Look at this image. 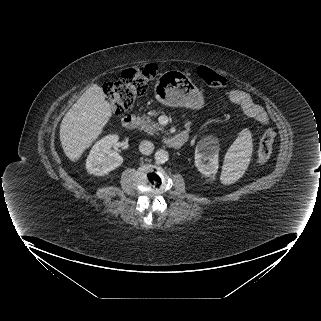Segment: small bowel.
<instances>
[{
    "mask_svg": "<svg viewBox=\"0 0 321 321\" xmlns=\"http://www.w3.org/2000/svg\"><path fill=\"white\" fill-rule=\"evenodd\" d=\"M227 97L231 103L238 106L247 116L259 124L266 125L268 123L265 110L256 104L247 92L234 89L228 92Z\"/></svg>",
    "mask_w": 321,
    "mask_h": 321,
    "instance_id": "small-bowel-1",
    "label": "small bowel"
}]
</instances>
